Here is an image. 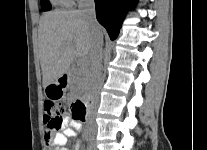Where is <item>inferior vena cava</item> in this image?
<instances>
[{"instance_id": "602c4592", "label": "inferior vena cava", "mask_w": 207, "mask_h": 150, "mask_svg": "<svg viewBox=\"0 0 207 150\" xmlns=\"http://www.w3.org/2000/svg\"><path fill=\"white\" fill-rule=\"evenodd\" d=\"M79 11L85 16L92 28L97 24L94 0H78ZM102 44L103 38L97 34L92 42L89 52L90 72L92 78V91L95 100H99V90L103 83L102 77Z\"/></svg>"}]
</instances>
